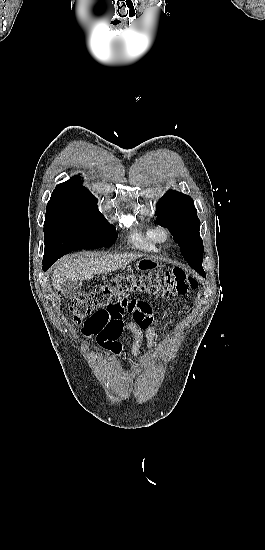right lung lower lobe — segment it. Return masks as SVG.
<instances>
[{
    "instance_id": "1",
    "label": "right lung lower lobe",
    "mask_w": 265,
    "mask_h": 550,
    "mask_svg": "<svg viewBox=\"0 0 265 550\" xmlns=\"http://www.w3.org/2000/svg\"><path fill=\"white\" fill-rule=\"evenodd\" d=\"M51 265L52 263L43 261V270L46 271Z\"/></svg>"
}]
</instances>
